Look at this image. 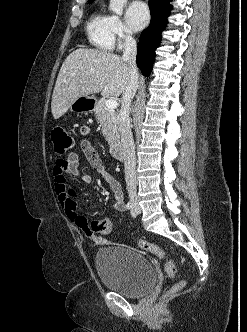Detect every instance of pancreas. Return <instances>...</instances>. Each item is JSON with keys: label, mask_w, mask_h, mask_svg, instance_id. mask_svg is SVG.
<instances>
[{"label": "pancreas", "mask_w": 247, "mask_h": 332, "mask_svg": "<svg viewBox=\"0 0 247 332\" xmlns=\"http://www.w3.org/2000/svg\"><path fill=\"white\" fill-rule=\"evenodd\" d=\"M94 112L102 127V134L108 144L110 146H117L120 142V128L116 111L107 108L105 100H100L96 103Z\"/></svg>", "instance_id": "cf45deb5"}]
</instances>
